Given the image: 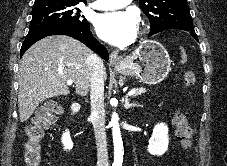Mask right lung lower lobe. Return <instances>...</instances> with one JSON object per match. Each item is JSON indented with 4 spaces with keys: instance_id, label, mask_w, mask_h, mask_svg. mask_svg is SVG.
I'll list each match as a JSON object with an SVG mask.
<instances>
[{
    "instance_id": "1",
    "label": "right lung lower lobe",
    "mask_w": 227,
    "mask_h": 166,
    "mask_svg": "<svg viewBox=\"0 0 227 166\" xmlns=\"http://www.w3.org/2000/svg\"><path fill=\"white\" fill-rule=\"evenodd\" d=\"M51 35H67L73 37L94 50L106 61L108 60L107 50L93 37L89 27L79 28L70 26H49L38 31L28 33L21 47V56L32 44Z\"/></svg>"
}]
</instances>
